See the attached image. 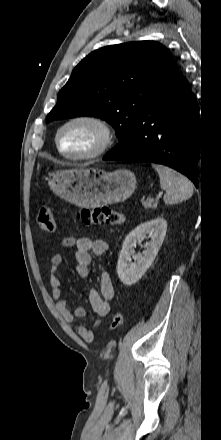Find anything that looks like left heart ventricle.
<instances>
[{
    "instance_id": "obj_1",
    "label": "left heart ventricle",
    "mask_w": 221,
    "mask_h": 440,
    "mask_svg": "<svg viewBox=\"0 0 221 440\" xmlns=\"http://www.w3.org/2000/svg\"><path fill=\"white\" fill-rule=\"evenodd\" d=\"M98 130L88 124L76 123L67 127L60 136V146L68 154L78 155L92 151L99 143Z\"/></svg>"
}]
</instances>
